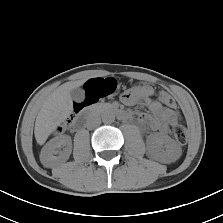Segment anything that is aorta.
Instances as JSON below:
<instances>
[{
    "label": "aorta",
    "instance_id": "obj_1",
    "mask_svg": "<svg viewBox=\"0 0 223 223\" xmlns=\"http://www.w3.org/2000/svg\"><path fill=\"white\" fill-rule=\"evenodd\" d=\"M102 118V121L105 123V124H111L114 122L115 120V115L114 113L112 112H104L101 116Z\"/></svg>",
    "mask_w": 223,
    "mask_h": 223
}]
</instances>
